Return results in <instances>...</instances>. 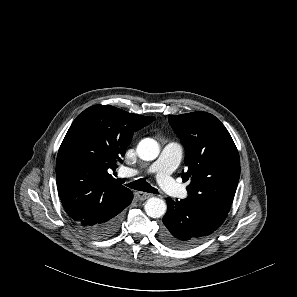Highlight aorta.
Segmentation results:
<instances>
[{"label":"aorta","mask_w":297,"mask_h":297,"mask_svg":"<svg viewBox=\"0 0 297 297\" xmlns=\"http://www.w3.org/2000/svg\"><path fill=\"white\" fill-rule=\"evenodd\" d=\"M159 152L160 149L158 143L151 138L141 140L137 146L139 158L145 161L156 159ZM144 209L149 217L159 218L165 214L167 207L164 200L157 197H151L145 203Z\"/></svg>","instance_id":"obj_1"}]
</instances>
